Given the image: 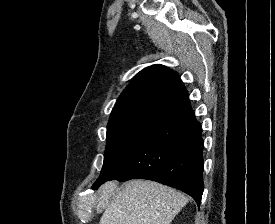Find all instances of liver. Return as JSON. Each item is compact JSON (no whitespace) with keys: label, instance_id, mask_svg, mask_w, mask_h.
<instances>
[{"label":"liver","instance_id":"1","mask_svg":"<svg viewBox=\"0 0 275 224\" xmlns=\"http://www.w3.org/2000/svg\"><path fill=\"white\" fill-rule=\"evenodd\" d=\"M187 202L181 192L157 182L131 180L117 190L111 181L99 189L97 211L105 209L99 224H170Z\"/></svg>","mask_w":275,"mask_h":224}]
</instances>
